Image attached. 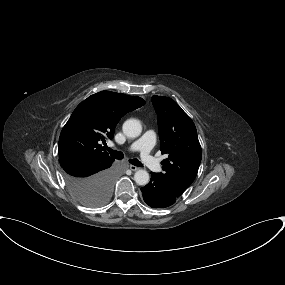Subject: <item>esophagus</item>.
Listing matches in <instances>:
<instances>
[{
    "mask_svg": "<svg viewBox=\"0 0 285 285\" xmlns=\"http://www.w3.org/2000/svg\"><path fill=\"white\" fill-rule=\"evenodd\" d=\"M130 169L132 171H137L139 168L137 166H134V165H130Z\"/></svg>",
    "mask_w": 285,
    "mask_h": 285,
    "instance_id": "1",
    "label": "esophagus"
}]
</instances>
